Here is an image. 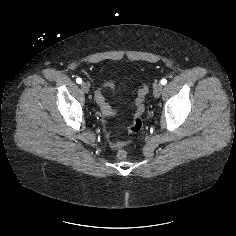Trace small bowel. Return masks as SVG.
<instances>
[{"label":"small bowel","instance_id":"obj_1","mask_svg":"<svg viewBox=\"0 0 236 236\" xmlns=\"http://www.w3.org/2000/svg\"><path fill=\"white\" fill-rule=\"evenodd\" d=\"M102 88L111 89L112 93L116 96L118 94L116 86L112 82H106L101 88H98L95 92V101L100 106L101 112L104 117L108 118L113 116L116 112L111 108V106L106 102L103 94Z\"/></svg>","mask_w":236,"mask_h":236}]
</instances>
